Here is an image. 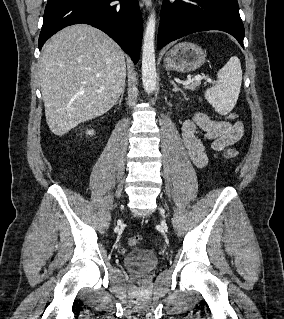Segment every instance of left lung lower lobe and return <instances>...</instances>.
<instances>
[{"label":"left lung lower lobe","mask_w":284,"mask_h":319,"mask_svg":"<svg viewBox=\"0 0 284 319\" xmlns=\"http://www.w3.org/2000/svg\"><path fill=\"white\" fill-rule=\"evenodd\" d=\"M220 30L244 48V26L237 0H165L160 14L157 48L188 34Z\"/></svg>","instance_id":"0a47b994"}]
</instances>
